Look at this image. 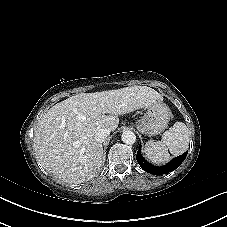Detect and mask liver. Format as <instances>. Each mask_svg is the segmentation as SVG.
<instances>
[{"label": "liver", "mask_w": 227, "mask_h": 227, "mask_svg": "<svg viewBox=\"0 0 227 227\" xmlns=\"http://www.w3.org/2000/svg\"><path fill=\"white\" fill-rule=\"evenodd\" d=\"M161 100L147 86H130L80 93L51 107L39 120L33 147L41 166L66 183L94 178L102 165L103 147L94 135L101 128L116 130L118 115Z\"/></svg>", "instance_id": "liver-1"}]
</instances>
